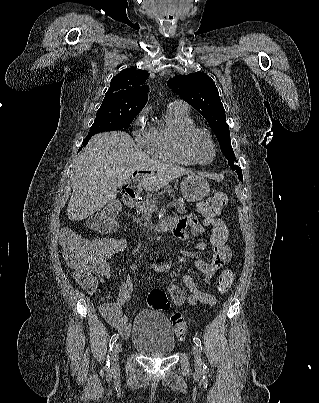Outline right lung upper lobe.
Wrapping results in <instances>:
<instances>
[{"mask_svg":"<svg viewBox=\"0 0 319 403\" xmlns=\"http://www.w3.org/2000/svg\"><path fill=\"white\" fill-rule=\"evenodd\" d=\"M149 74L145 70L128 68L112 78L102 104H121L142 110L149 87L143 85Z\"/></svg>","mask_w":319,"mask_h":403,"instance_id":"1","label":"right lung upper lobe"}]
</instances>
